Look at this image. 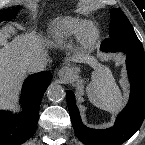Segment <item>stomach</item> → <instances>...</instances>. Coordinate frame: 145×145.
I'll return each mask as SVG.
<instances>
[{"mask_svg": "<svg viewBox=\"0 0 145 145\" xmlns=\"http://www.w3.org/2000/svg\"><path fill=\"white\" fill-rule=\"evenodd\" d=\"M72 71H73L74 74H77L79 69L77 67H72Z\"/></svg>", "mask_w": 145, "mask_h": 145, "instance_id": "0dacf381", "label": "stomach"}]
</instances>
